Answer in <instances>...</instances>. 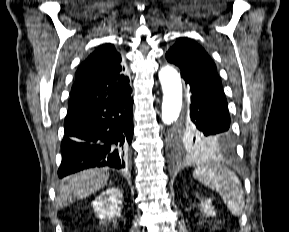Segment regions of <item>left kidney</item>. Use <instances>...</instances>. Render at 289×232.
Masks as SVG:
<instances>
[{
    "instance_id": "left-kidney-1",
    "label": "left kidney",
    "mask_w": 289,
    "mask_h": 232,
    "mask_svg": "<svg viewBox=\"0 0 289 232\" xmlns=\"http://www.w3.org/2000/svg\"><path fill=\"white\" fill-rule=\"evenodd\" d=\"M201 211L206 216H215L214 207L209 199H202L200 203Z\"/></svg>"
}]
</instances>
